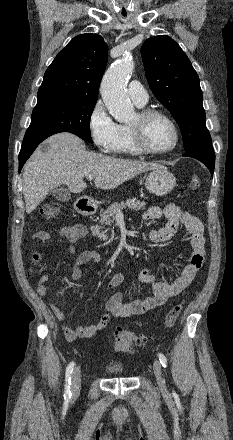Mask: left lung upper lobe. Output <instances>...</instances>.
Masks as SVG:
<instances>
[{
    "label": "left lung upper lobe",
    "mask_w": 233,
    "mask_h": 440,
    "mask_svg": "<svg viewBox=\"0 0 233 440\" xmlns=\"http://www.w3.org/2000/svg\"><path fill=\"white\" fill-rule=\"evenodd\" d=\"M141 55L149 86L177 121L185 151L211 145L199 77L181 47L159 35L144 42Z\"/></svg>",
    "instance_id": "5c2ea615"
}]
</instances>
